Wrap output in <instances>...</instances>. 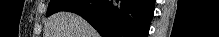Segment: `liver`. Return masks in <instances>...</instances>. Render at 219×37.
<instances>
[{
    "label": "liver",
    "instance_id": "1",
    "mask_svg": "<svg viewBox=\"0 0 219 37\" xmlns=\"http://www.w3.org/2000/svg\"><path fill=\"white\" fill-rule=\"evenodd\" d=\"M46 35L45 37H99L82 17L66 11L49 18Z\"/></svg>",
    "mask_w": 219,
    "mask_h": 37
}]
</instances>
